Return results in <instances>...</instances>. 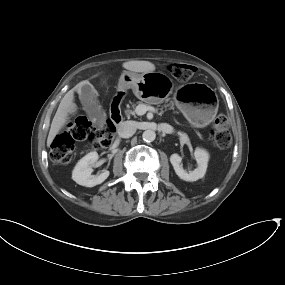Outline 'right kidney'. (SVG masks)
I'll return each instance as SVG.
<instances>
[{
    "label": "right kidney",
    "instance_id": "obj_1",
    "mask_svg": "<svg viewBox=\"0 0 285 285\" xmlns=\"http://www.w3.org/2000/svg\"><path fill=\"white\" fill-rule=\"evenodd\" d=\"M98 160L97 152H90L85 155L73 169L72 179L79 185L86 187H94L104 182L108 176L109 171L104 170L99 175H91L93 172L92 165Z\"/></svg>",
    "mask_w": 285,
    "mask_h": 285
}]
</instances>
